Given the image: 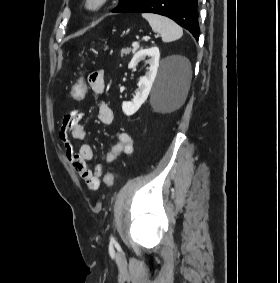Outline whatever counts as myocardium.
Returning a JSON list of instances; mask_svg holds the SVG:
<instances>
[{
    "mask_svg": "<svg viewBox=\"0 0 280 283\" xmlns=\"http://www.w3.org/2000/svg\"><path fill=\"white\" fill-rule=\"evenodd\" d=\"M109 0H84L83 8L87 13H97L102 10L107 4Z\"/></svg>",
    "mask_w": 280,
    "mask_h": 283,
    "instance_id": "1",
    "label": "myocardium"
}]
</instances>
